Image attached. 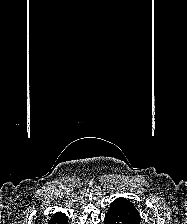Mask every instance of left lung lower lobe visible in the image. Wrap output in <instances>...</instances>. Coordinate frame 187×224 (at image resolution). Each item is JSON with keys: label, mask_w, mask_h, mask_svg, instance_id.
<instances>
[{"label": "left lung lower lobe", "mask_w": 187, "mask_h": 224, "mask_svg": "<svg viewBox=\"0 0 187 224\" xmlns=\"http://www.w3.org/2000/svg\"><path fill=\"white\" fill-rule=\"evenodd\" d=\"M141 217L133 203L126 198H117L105 215V224H140Z\"/></svg>", "instance_id": "1"}]
</instances>
